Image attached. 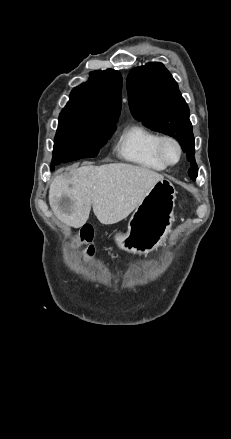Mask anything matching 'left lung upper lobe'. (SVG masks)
Here are the masks:
<instances>
[{
	"label": "left lung upper lobe",
	"mask_w": 231,
	"mask_h": 439,
	"mask_svg": "<svg viewBox=\"0 0 231 439\" xmlns=\"http://www.w3.org/2000/svg\"><path fill=\"white\" fill-rule=\"evenodd\" d=\"M127 89L132 115L146 127L178 140L191 162L188 174L195 180L198 167L189 108L169 71L158 62L136 67L127 77Z\"/></svg>",
	"instance_id": "obj_1"
}]
</instances>
